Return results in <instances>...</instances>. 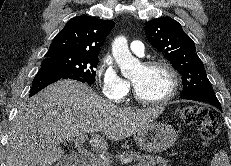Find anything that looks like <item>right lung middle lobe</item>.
<instances>
[{
	"instance_id": "dd1d6c3e",
	"label": "right lung middle lobe",
	"mask_w": 231,
	"mask_h": 166,
	"mask_svg": "<svg viewBox=\"0 0 231 166\" xmlns=\"http://www.w3.org/2000/svg\"><path fill=\"white\" fill-rule=\"evenodd\" d=\"M98 56L71 53H47L41 68H51L82 78L86 83L95 81Z\"/></svg>"
}]
</instances>
